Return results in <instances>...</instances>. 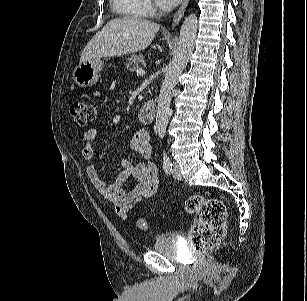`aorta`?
<instances>
[{
	"label": "aorta",
	"mask_w": 307,
	"mask_h": 301,
	"mask_svg": "<svg viewBox=\"0 0 307 301\" xmlns=\"http://www.w3.org/2000/svg\"><path fill=\"white\" fill-rule=\"evenodd\" d=\"M197 30L198 18L195 14H190L181 26L177 46L171 62L166 67L157 102L155 128L160 139H163L166 134L172 93L194 50Z\"/></svg>",
	"instance_id": "762f6f07"
}]
</instances>
